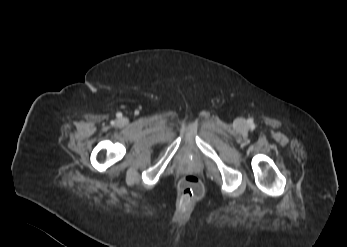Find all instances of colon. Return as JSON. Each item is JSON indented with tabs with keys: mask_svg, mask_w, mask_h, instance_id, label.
Returning <instances> with one entry per match:
<instances>
[{
	"mask_svg": "<svg viewBox=\"0 0 347 247\" xmlns=\"http://www.w3.org/2000/svg\"><path fill=\"white\" fill-rule=\"evenodd\" d=\"M178 190L186 200L199 198L203 194L200 180L194 174L184 175L179 182Z\"/></svg>",
	"mask_w": 347,
	"mask_h": 247,
	"instance_id": "colon-1",
	"label": "colon"
}]
</instances>
